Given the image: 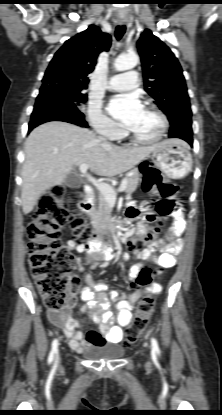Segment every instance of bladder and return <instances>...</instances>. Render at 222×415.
I'll use <instances>...</instances> for the list:
<instances>
[{"label": "bladder", "instance_id": "31cf9c89", "mask_svg": "<svg viewBox=\"0 0 222 415\" xmlns=\"http://www.w3.org/2000/svg\"><path fill=\"white\" fill-rule=\"evenodd\" d=\"M125 353V349L118 345L94 346L85 349L83 352L86 358L92 360L117 359L124 356Z\"/></svg>", "mask_w": 222, "mask_h": 415}]
</instances>
